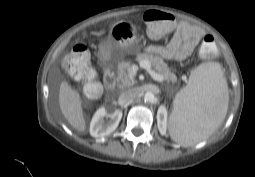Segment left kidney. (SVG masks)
Returning <instances> with one entry per match:
<instances>
[{
	"mask_svg": "<svg viewBox=\"0 0 255 177\" xmlns=\"http://www.w3.org/2000/svg\"><path fill=\"white\" fill-rule=\"evenodd\" d=\"M157 122H158V127H160L162 131H165L166 123H167V110L164 106H161L158 109Z\"/></svg>",
	"mask_w": 255,
	"mask_h": 177,
	"instance_id": "obj_1",
	"label": "left kidney"
}]
</instances>
